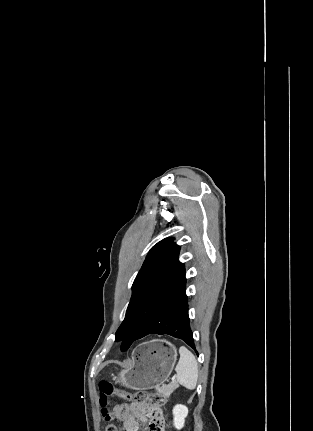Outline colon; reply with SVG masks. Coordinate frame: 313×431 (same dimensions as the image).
<instances>
[{
  "mask_svg": "<svg viewBox=\"0 0 313 431\" xmlns=\"http://www.w3.org/2000/svg\"><path fill=\"white\" fill-rule=\"evenodd\" d=\"M236 116V121L241 122V118L237 114L230 115V117ZM100 403L103 408V416L107 421H110V416L105 408L108 398L119 397L121 399L131 401L136 404L145 405L148 408L149 413L154 418L151 425V431H163V414L162 408L165 404V398L158 393H152L149 391H138L135 393H129L120 389L115 388L108 381H101L98 385ZM105 431H118L117 427L109 423Z\"/></svg>",
  "mask_w": 313,
  "mask_h": 431,
  "instance_id": "1",
  "label": "colon"
}]
</instances>
